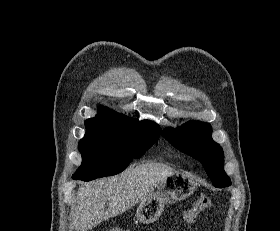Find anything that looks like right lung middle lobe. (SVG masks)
I'll use <instances>...</instances> for the list:
<instances>
[{"label":"right lung middle lobe","instance_id":"right-lung-middle-lobe-1","mask_svg":"<svg viewBox=\"0 0 280 231\" xmlns=\"http://www.w3.org/2000/svg\"><path fill=\"white\" fill-rule=\"evenodd\" d=\"M86 133L79 141L82 164L72 177L90 181L115 175L140 158L158 139L161 130L116 119L85 122Z\"/></svg>","mask_w":280,"mask_h":231}]
</instances>
